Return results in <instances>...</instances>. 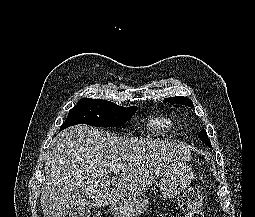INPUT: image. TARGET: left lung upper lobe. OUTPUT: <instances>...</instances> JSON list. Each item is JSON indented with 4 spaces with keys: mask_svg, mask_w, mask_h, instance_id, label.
I'll return each mask as SVG.
<instances>
[{
    "mask_svg": "<svg viewBox=\"0 0 255 217\" xmlns=\"http://www.w3.org/2000/svg\"><path fill=\"white\" fill-rule=\"evenodd\" d=\"M165 101L167 102H171V103H178V104H182V105H186L189 107H193V103L190 99H188L187 97H170V98H166ZM199 138L201 139L202 142H204L208 147H211V142L207 136V133L205 130H202L199 133Z\"/></svg>",
    "mask_w": 255,
    "mask_h": 217,
    "instance_id": "1",
    "label": "left lung upper lobe"
}]
</instances>
